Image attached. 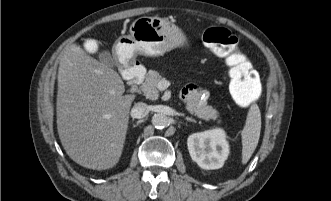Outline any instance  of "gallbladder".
I'll return each instance as SVG.
<instances>
[{"instance_id":"gallbladder-1","label":"gallbladder","mask_w":331,"mask_h":201,"mask_svg":"<svg viewBox=\"0 0 331 201\" xmlns=\"http://www.w3.org/2000/svg\"><path fill=\"white\" fill-rule=\"evenodd\" d=\"M98 58L102 63L108 65L109 67L116 66V60L108 50H101L98 53Z\"/></svg>"}]
</instances>
